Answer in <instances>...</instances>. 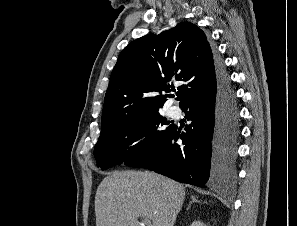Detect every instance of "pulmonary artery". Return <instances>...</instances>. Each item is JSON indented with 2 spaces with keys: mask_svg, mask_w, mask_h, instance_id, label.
I'll return each instance as SVG.
<instances>
[{
  "mask_svg": "<svg viewBox=\"0 0 297 226\" xmlns=\"http://www.w3.org/2000/svg\"><path fill=\"white\" fill-rule=\"evenodd\" d=\"M169 115L173 118H178L181 115V110L177 106H172L169 109Z\"/></svg>",
  "mask_w": 297,
  "mask_h": 226,
  "instance_id": "1",
  "label": "pulmonary artery"
}]
</instances>
